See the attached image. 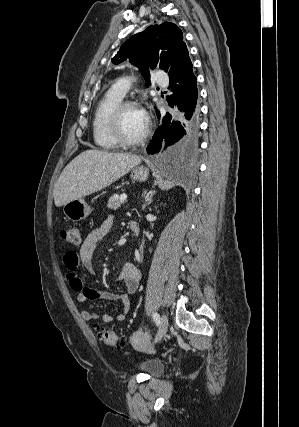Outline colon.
I'll return each instance as SVG.
<instances>
[{
    "mask_svg": "<svg viewBox=\"0 0 299 427\" xmlns=\"http://www.w3.org/2000/svg\"><path fill=\"white\" fill-rule=\"evenodd\" d=\"M61 235L63 239L70 244H81L80 228L77 225H69L62 230ZM98 337L105 344L115 348H121L124 344L123 338L110 330L98 329Z\"/></svg>",
    "mask_w": 299,
    "mask_h": 427,
    "instance_id": "5ec220e1",
    "label": "colon"
}]
</instances>
